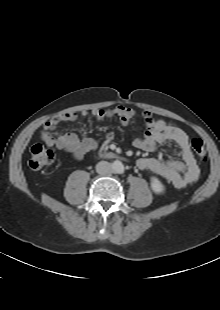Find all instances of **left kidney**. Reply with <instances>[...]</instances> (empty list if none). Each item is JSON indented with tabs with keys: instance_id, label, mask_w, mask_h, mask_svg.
I'll return each instance as SVG.
<instances>
[{
	"instance_id": "5707ae66",
	"label": "left kidney",
	"mask_w": 220,
	"mask_h": 310,
	"mask_svg": "<svg viewBox=\"0 0 220 310\" xmlns=\"http://www.w3.org/2000/svg\"><path fill=\"white\" fill-rule=\"evenodd\" d=\"M151 188L157 194L164 193L165 191L164 185L156 177H151Z\"/></svg>"
}]
</instances>
